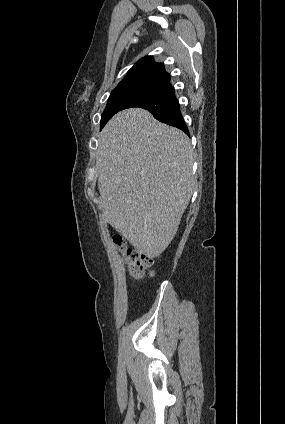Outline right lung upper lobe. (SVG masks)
Wrapping results in <instances>:
<instances>
[{
    "instance_id": "cb5924a9",
    "label": "right lung upper lobe",
    "mask_w": 285,
    "mask_h": 424,
    "mask_svg": "<svg viewBox=\"0 0 285 424\" xmlns=\"http://www.w3.org/2000/svg\"><path fill=\"white\" fill-rule=\"evenodd\" d=\"M138 83H158L166 85L170 83V75L165 71L162 63L155 62L152 56H146L140 59L128 71L125 78L117 87Z\"/></svg>"
}]
</instances>
